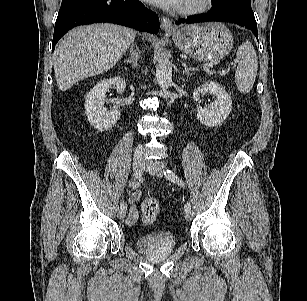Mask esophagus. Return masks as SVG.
Returning <instances> with one entry per match:
<instances>
[{
  "label": "esophagus",
  "mask_w": 307,
  "mask_h": 301,
  "mask_svg": "<svg viewBox=\"0 0 307 301\" xmlns=\"http://www.w3.org/2000/svg\"><path fill=\"white\" fill-rule=\"evenodd\" d=\"M161 27L166 32L174 31L172 21L169 18L164 17V16L161 17Z\"/></svg>",
  "instance_id": "1"
}]
</instances>
